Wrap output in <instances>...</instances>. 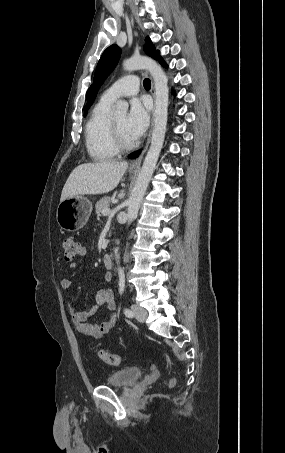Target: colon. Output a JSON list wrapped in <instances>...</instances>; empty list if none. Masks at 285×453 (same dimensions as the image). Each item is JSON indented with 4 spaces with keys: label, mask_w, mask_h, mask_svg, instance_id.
Returning a JSON list of instances; mask_svg holds the SVG:
<instances>
[{
    "label": "colon",
    "mask_w": 285,
    "mask_h": 453,
    "mask_svg": "<svg viewBox=\"0 0 285 453\" xmlns=\"http://www.w3.org/2000/svg\"><path fill=\"white\" fill-rule=\"evenodd\" d=\"M62 247L64 251V259L66 261H73L80 253V245L73 238H65L62 241ZM99 358L108 365H119L122 362V357L118 354H113L104 350L98 351ZM174 383V380H171V384Z\"/></svg>",
    "instance_id": "obj_1"
}]
</instances>
